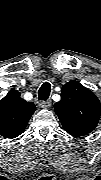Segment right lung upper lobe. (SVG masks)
I'll return each mask as SVG.
<instances>
[{
  "instance_id": "right-lung-upper-lobe-1",
  "label": "right lung upper lobe",
  "mask_w": 101,
  "mask_h": 180,
  "mask_svg": "<svg viewBox=\"0 0 101 180\" xmlns=\"http://www.w3.org/2000/svg\"><path fill=\"white\" fill-rule=\"evenodd\" d=\"M35 110L33 102L25 101L20 92L11 89L0 101V134L6 138L22 134Z\"/></svg>"
}]
</instances>
